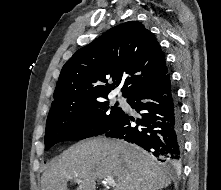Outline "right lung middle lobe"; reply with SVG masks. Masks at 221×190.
Returning <instances> with one entry per match:
<instances>
[{"label": "right lung middle lobe", "mask_w": 221, "mask_h": 190, "mask_svg": "<svg viewBox=\"0 0 221 190\" xmlns=\"http://www.w3.org/2000/svg\"><path fill=\"white\" fill-rule=\"evenodd\" d=\"M107 98V97H105ZM105 98L50 109L45 132V150L61 141L82 140L106 133L121 118L123 110Z\"/></svg>", "instance_id": "obj_1"}]
</instances>
